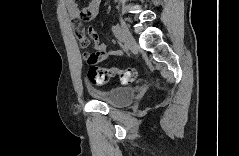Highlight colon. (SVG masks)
Instances as JSON below:
<instances>
[{"label": "colon", "instance_id": "1", "mask_svg": "<svg viewBox=\"0 0 239 156\" xmlns=\"http://www.w3.org/2000/svg\"><path fill=\"white\" fill-rule=\"evenodd\" d=\"M88 14L81 11L80 20H87ZM74 24H77V22ZM138 77V71L135 68H126L123 70L116 68H105L93 65L88 72V78L91 83L102 84L110 79H118L122 84L133 82Z\"/></svg>", "mask_w": 239, "mask_h": 156}]
</instances>
